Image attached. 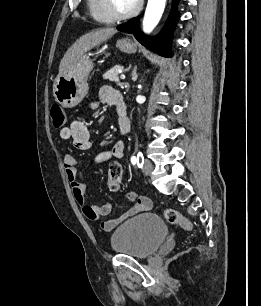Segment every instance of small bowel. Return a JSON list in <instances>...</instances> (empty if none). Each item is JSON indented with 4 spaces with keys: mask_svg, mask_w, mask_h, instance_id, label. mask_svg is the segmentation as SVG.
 Returning <instances> with one entry per match:
<instances>
[{
    "mask_svg": "<svg viewBox=\"0 0 261 306\" xmlns=\"http://www.w3.org/2000/svg\"><path fill=\"white\" fill-rule=\"evenodd\" d=\"M99 99L115 107L119 116V128L122 134H127L130 129L129 120L125 114V105L121 94L110 86H104L100 89ZM60 138L63 140H72L73 146L79 150H87L91 147V133L88 127L80 120H74L70 126L61 129ZM125 144L118 141L113 148L108 151H102L95 157V163L100 164L112 158H122L124 156ZM83 160L76 158L72 154H66L63 159V165L67 179L71 185V191L75 200L82 205L84 215L92 220L99 221L102 217L108 216L112 212V205L105 203L101 205H86L84 202V184L76 181L77 167ZM128 199L133 202V206L118 218L102 221L100 226L104 231H111L128 217L150 210L152 203L150 199L138 196L135 193H129Z\"/></svg>",
    "mask_w": 261,
    "mask_h": 306,
    "instance_id": "c3829d8e",
    "label": "small bowel"
}]
</instances>
